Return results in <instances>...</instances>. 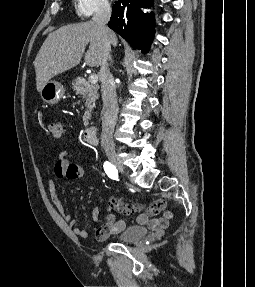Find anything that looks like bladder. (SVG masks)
<instances>
[{"label": "bladder", "instance_id": "obj_1", "mask_svg": "<svg viewBox=\"0 0 255 287\" xmlns=\"http://www.w3.org/2000/svg\"><path fill=\"white\" fill-rule=\"evenodd\" d=\"M147 228L139 225L125 227L120 233L114 236V240L121 243H130L142 239L147 235Z\"/></svg>", "mask_w": 255, "mask_h": 287}]
</instances>
